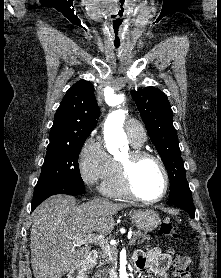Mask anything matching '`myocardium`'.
Listing matches in <instances>:
<instances>
[{"instance_id": "myocardium-1", "label": "myocardium", "mask_w": 221, "mask_h": 278, "mask_svg": "<svg viewBox=\"0 0 221 278\" xmlns=\"http://www.w3.org/2000/svg\"><path fill=\"white\" fill-rule=\"evenodd\" d=\"M147 158L154 160L158 164L164 179L163 190L161 194L156 198H146L141 196L135 190V187L132 182V169L134 165L138 161ZM116 167L120 186L128 197L144 203H157L163 200L164 197L167 195L170 184L168 170L162 159L156 154L144 149L132 148L128 151L125 161H120L118 159L116 160Z\"/></svg>"}]
</instances>
